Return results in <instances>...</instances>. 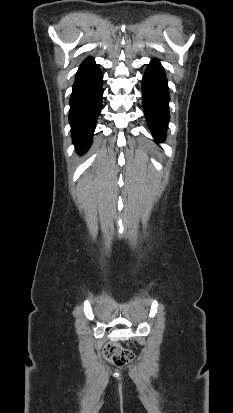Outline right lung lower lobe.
Instances as JSON below:
<instances>
[{"instance_id": "right-lung-lower-lobe-1", "label": "right lung lower lobe", "mask_w": 233, "mask_h": 413, "mask_svg": "<svg viewBox=\"0 0 233 413\" xmlns=\"http://www.w3.org/2000/svg\"><path fill=\"white\" fill-rule=\"evenodd\" d=\"M103 75L94 59L88 57L80 65L70 97L69 122L73 143L78 152L90 146L95 124L101 111Z\"/></svg>"}]
</instances>
